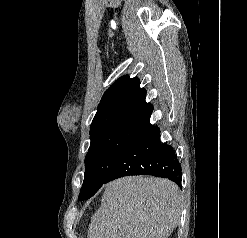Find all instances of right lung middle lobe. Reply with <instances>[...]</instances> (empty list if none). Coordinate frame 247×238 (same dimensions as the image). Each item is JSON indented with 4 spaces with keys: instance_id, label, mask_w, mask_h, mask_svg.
<instances>
[{
    "instance_id": "right-lung-middle-lobe-1",
    "label": "right lung middle lobe",
    "mask_w": 247,
    "mask_h": 238,
    "mask_svg": "<svg viewBox=\"0 0 247 238\" xmlns=\"http://www.w3.org/2000/svg\"><path fill=\"white\" fill-rule=\"evenodd\" d=\"M147 122L145 120L118 121L90 134L91 143L85 158L84 182L79 200H87L98 191L113 165Z\"/></svg>"
}]
</instances>
